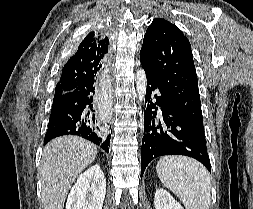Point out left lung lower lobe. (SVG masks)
<instances>
[{"label": "left lung lower lobe", "mask_w": 253, "mask_h": 209, "mask_svg": "<svg viewBox=\"0 0 253 209\" xmlns=\"http://www.w3.org/2000/svg\"><path fill=\"white\" fill-rule=\"evenodd\" d=\"M146 77L141 174L143 175L153 159L163 155H185L195 158L211 172L204 129L197 127L179 111L158 79L147 72ZM157 106H160L161 120L157 119Z\"/></svg>", "instance_id": "obj_1"}]
</instances>
